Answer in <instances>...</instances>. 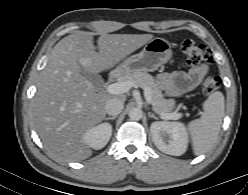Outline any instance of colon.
<instances>
[{
    "mask_svg": "<svg viewBox=\"0 0 248 195\" xmlns=\"http://www.w3.org/2000/svg\"><path fill=\"white\" fill-rule=\"evenodd\" d=\"M184 54L185 62L188 66L199 67L202 65L211 64L213 55L211 51L204 45H201L193 40H185L181 45ZM221 85V78L217 74L206 77L202 85V95L207 97L215 92Z\"/></svg>",
    "mask_w": 248,
    "mask_h": 195,
    "instance_id": "5ec220e1",
    "label": "colon"
}]
</instances>
